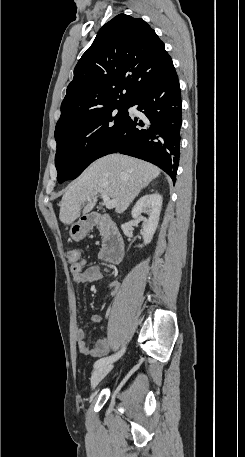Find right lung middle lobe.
<instances>
[{"instance_id": "right-lung-middle-lobe-1", "label": "right lung middle lobe", "mask_w": 245, "mask_h": 457, "mask_svg": "<svg viewBox=\"0 0 245 457\" xmlns=\"http://www.w3.org/2000/svg\"><path fill=\"white\" fill-rule=\"evenodd\" d=\"M128 108V100L116 101L56 127L59 183L77 178L90 163L109 154Z\"/></svg>"}]
</instances>
